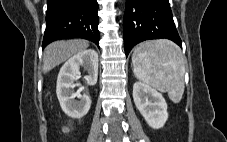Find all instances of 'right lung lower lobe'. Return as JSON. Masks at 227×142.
<instances>
[{
    "mask_svg": "<svg viewBox=\"0 0 227 142\" xmlns=\"http://www.w3.org/2000/svg\"><path fill=\"white\" fill-rule=\"evenodd\" d=\"M96 0H47L46 30L42 47L69 38L93 41L99 47Z\"/></svg>",
    "mask_w": 227,
    "mask_h": 142,
    "instance_id": "98d812e1",
    "label": "right lung lower lobe"
}]
</instances>
